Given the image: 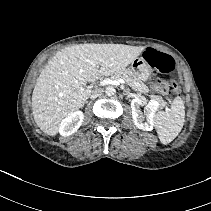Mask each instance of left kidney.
Masks as SVG:
<instances>
[{
  "mask_svg": "<svg viewBox=\"0 0 211 211\" xmlns=\"http://www.w3.org/2000/svg\"><path fill=\"white\" fill-rule=\"evenodd\" d=\"M145 104L144 98L135 97L131 101L132 118L135 126L144 131L153 129V117L158 110L159 104L151 100L144 108V115L141 113L140 106ZM146 118V121L144 122Z\"/></svg>",
  "mask_w": 211,
  "mask_h": 211,
  "instance_id": "5707ae66",
  "label": "left kidney"
}]
</instances>
